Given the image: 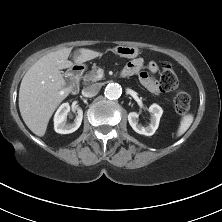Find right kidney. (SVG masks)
<instances>
[{"mask_svg": "<svg viewBox=\"0 0 222 222\" xmlns=\"http://www.w3.org/2000/svg\"><path fill=\"white\" fill-rule=\"evenodd\" d=\"M70 111V106L68 103H63L54 115V129L59 134H69L76 131L82 122L83 111L80 107H76V118L73 123H67V114Z\"/></svg>", "mask_w": 222, "mask_h": 222, "instance_id": "obj_1", "label": "right kidney"}]
</instances>
